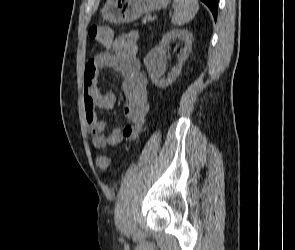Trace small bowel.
<instances>
[{
  "instance_id": "c3829d8e",
  "label": "small bowel",
  "mask_w": 295,
  "mask_h": 250,
  "mask_svg": "<svg viewBox=\"0 0 295 250\" xmlns=\"http://www.w3.org/2000/svg\"><path fill=\"white\" fill-rule=\"evenodd\" d=\"M137 32L120 33L109 48L89 60L84 69V105L88 133L97 148L115 146L124 139H136L145 124L148 111L147 78L137 59ZM114 69L122 77V90L126 97L124 113L128 123L103 135L107 125L97 110L112 109L116 102L113 92L101 93L98 76L102 71Z\"/></svg>"
}]
</instances>
